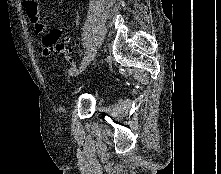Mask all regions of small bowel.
Returning a JSON list of instances; mask_svg holds the SVG:
<instances>
[{"label": "small bowel", "instance_id": "obj_1", "mask_svg": "<svg viewBox=\"0 0 221 174\" xmlns=\"http://www.w3.org/2000/svg\"><path fill=\"white\" fill-rule=\"evenodd\" d=\"M26 14L32 23V26L36 33L42 34L46 31V25L42 21L39 12V2L38 0H23ZM61 32V29L56 28ZM55 30V29H53ZM51 32V31H50ZM49 33L45 34L43 37V56L50 57L54 55L55 52V42L49 39Z\"/></svg>", "mask_w": 221, "mask_h": 174}]
</instances>
